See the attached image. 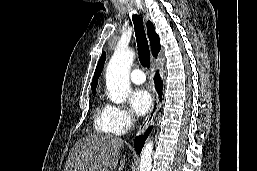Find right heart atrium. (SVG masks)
<instances>
[{
	"label": "right heart atrium",
	"instance_id": "1",
	"mask_svg": "<svg viewBox=\"0 0 257 171\" xmlns=\"http://www.w3.org/2000/svg\"><path fill=\"white\" fill-rule=\"evenodd\" d=\"M109 110L114 125L120 132L130 129L134 125L135 118L128 109L122 106L109 105Z\"/></svg>",
	"mask_w": 257,
	"mask_h": 171
}]
</instances>
